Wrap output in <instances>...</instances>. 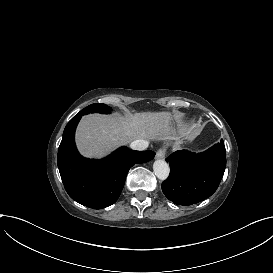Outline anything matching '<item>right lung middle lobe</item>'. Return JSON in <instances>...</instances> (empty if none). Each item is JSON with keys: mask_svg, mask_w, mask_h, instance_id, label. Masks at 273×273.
<instances>
[{"mask_svg": "<svg viewBox=\"0 0 273 273\" xmlns=\"http://www.w3.org/2000/svg\"><path fill=\"white\" fill-rule=\"evenodd\" d=\"M110 110H111V108L105 104L95 103V104H91V105L85 107L78 114L83 116L85 114L93 113V112L109 113Z\"/></svg>", "mask_w": 273, "mask_h": 273, "instance_id": "obj_1", "label": "right lung middle lobe"}]
</instances>
